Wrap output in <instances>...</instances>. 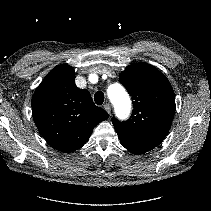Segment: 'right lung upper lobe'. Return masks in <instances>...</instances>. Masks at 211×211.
I'll return each instance as SVG.
<instances>
[{"label":"right lung upper lobe","instance_id":"cb5924a9","mask_svg":"<svg viewBox=\"0 0 211 211\" xmlns=\"http://www.w3.org/2000/svg\"><path fill=\"white\" fill-rule=\"evenodd\" d=\"M35 125L54 149L70 153L81 148L93 128L109 115L95 106L90 93L75 85L71 66L52 69L32 97Z\"/></svg>","mask_w":211,"mask_h":211}]
</instances>
